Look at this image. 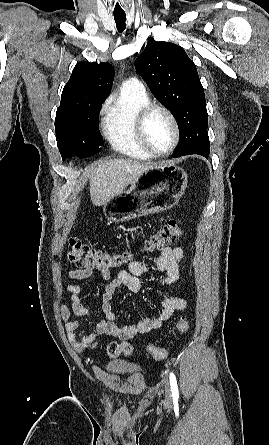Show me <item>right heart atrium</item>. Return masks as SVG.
Wrapping results in <instances>:
<instances>
[{
	"label": "right heart atrium",
	"mask_w": 269,
	"mask_h": 445,
	"mask_svg": "<svg viewBox=\"0 0 269 445\" xmlns=\"http://www.w3.org/2000/svg\"><path fill=\"white\" fill-rule=\"evenodd\" d=\"M104 109V106L101 108V110H103Z\"/></svg>",
	"instance_id": "right-heart-atrium-1"
}]
</instances>
